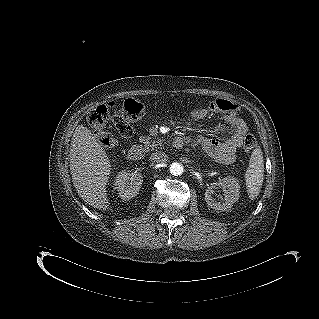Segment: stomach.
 <instances>
[{"mask_svg": "<svg viewBox=\"0 0 319 319\" xmlns=\"http://www.w3.org/2000/svg\"><path fill=\"white\" fill-rule=\"evenodd\" d=\"M203 112H204V109L196 107L192 110V115L193 116H200L203 114Z\"/></svg>", "mask_w": 319, "mask_h": 319, "instance_id": "0dacf381", "label": "stomach"}]
</instances>
